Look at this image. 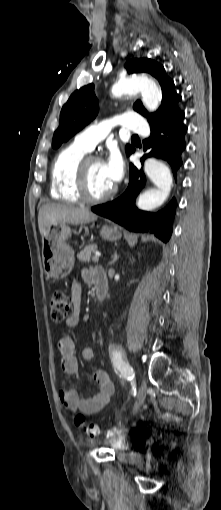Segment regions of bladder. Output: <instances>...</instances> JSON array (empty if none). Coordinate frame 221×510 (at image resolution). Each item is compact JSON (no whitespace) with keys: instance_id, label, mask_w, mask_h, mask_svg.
I'll use <instances>...</instances> for the list:
<instances>
[{"instance_id":"1","label":"bladder","mask_w":221,"mask_h":510,"mask_svg":"<svg viewBox=\"0 0 221 510\" xmlns=\"http://www.w3.org/2000/svg\"><path fill=\"white\" fill-rule=\"evenodd\" d=\"M133 445V440L130 437H123L113 443L112 448L118 452L127 451Z\"/></svg>"}]
</instances>
